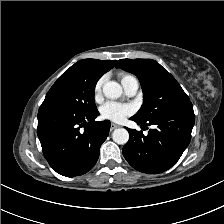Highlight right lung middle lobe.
Instances as JSON below:
<instances>
[{
  "label": "right lung middle lobe",
  "instance_id": "obj_1",
  "mask_svg": "<svg viewBox=\"0 0 224 224\" xmlns=\"http://www.w3.org/2000/svg\"><path fill=\"white\" fill-rule=\"evenodd\" d=\"M101 76L77 62L56 80L44 102L69 107L81 113H93L97 111L94 90Z\"/></svg>",
  "mask_w": 224,
  "mask_h": 224
}]
</instances>
